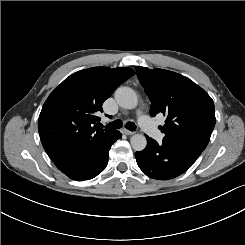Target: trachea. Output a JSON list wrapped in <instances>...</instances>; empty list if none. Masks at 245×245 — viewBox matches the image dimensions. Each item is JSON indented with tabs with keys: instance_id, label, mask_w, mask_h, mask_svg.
Listing matches in <instances>:
<instances>
[{
	"instance_id": "obj_1",
	"label": "trachea",
	"mask_w": 245,
	"mask_h": 245,
	"mask_svg": "<svg viewBox=\"0 0 245 245\" xmlns=\"http://www.w3.org/2000/svg\"><path fill=\"white\" fill-rule=\"evenodd\" d=\"M107 128H112V129H120L122 127V121L121 120H115L106 125ZM125 128H127L130 131H135L136 130V125L133 122H127L125 125Z\"/></svg>"
}]
</instances>
